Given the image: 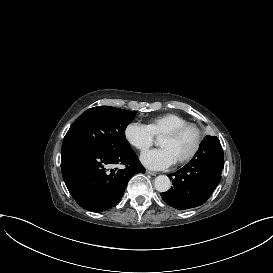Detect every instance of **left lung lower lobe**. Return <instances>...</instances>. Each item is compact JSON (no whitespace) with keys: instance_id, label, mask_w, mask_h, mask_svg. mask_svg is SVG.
<instances>
[{"instance_id":"left-lung-lower-lobe-1","label":"left lung lower lobe","mask_w":273,"mask_h":273,"mask_svg":"<svg viewBox=\"0 0 273 273\" xmlns=\"http://www.w3.org/2000/svg\"><path fill=\"white\" fill-rule=\"evenodd\" d=\"M224 154L216 136L207 135L195 156L174 174L173 186L161 193L162 199L171 207L185 210L204 204L221 180Z\"/></svg>"}]
</instances>
